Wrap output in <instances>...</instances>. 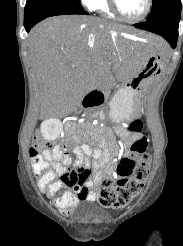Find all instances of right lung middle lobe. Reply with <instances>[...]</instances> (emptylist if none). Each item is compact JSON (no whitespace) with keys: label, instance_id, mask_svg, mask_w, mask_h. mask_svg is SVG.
<instances>
[{"label":"right lung middle lobe","instance_id":"dd1d6c3e","mask_svg":"<svg viewBox=\"0 0 183 246\" xmlns=\"http://www.w3.org/2000/svg\"><path fill=\"white\" fill-rule=\"evenodd\" d=\"M82 7L77 0H27L24 16L39 15L63 7Z\"/></svg>","mask_w":183,"mask_h":246}]
</instances>
